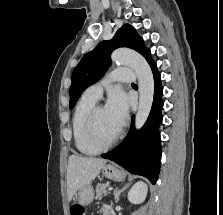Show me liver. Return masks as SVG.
<instances>
[{
	"instance_id": "obj_1",
	"label": "liver",
	"mask_w": 223,
	"mask_h": 215,
	"mask_svg": "<svg viewBox=\"0 0 223 215\" xmlns=\"http://www.w3.org/2000/svg\"><path fill=\"white\" fill-rule=\"evenodd\" d=\"M107 159L100 157H79V155H69L67 167V193L68 201H71L78 189L89 185L92 179L100 173Z\"/></svg>"
}]
</instances>
